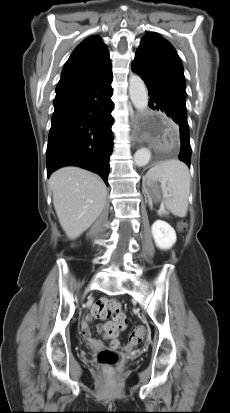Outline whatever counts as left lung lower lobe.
Here are the masks:
<instances>
[{
    "label": "left lung lower lobe",
    "instance_id": "obj_1",
    "mask_svg": "<svg viewBox=\"0 0 230 413\" xmlns=\"http://www.w3.org/2000/svg\"><path fill=\"white\" fill-rule=\"evenodd\" d=\"M132 70L137 72L149 90V106L161 110L179 125L181 150L179 159L190 167L191 147L186 111L185 86L154 59L136 53Z\"/></svg>",
    "mask_w": 230,
    "mask_h": 413
}]
</instances>
